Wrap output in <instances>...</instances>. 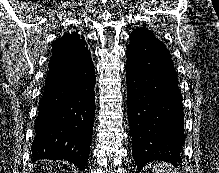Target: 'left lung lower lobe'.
<instances>
[{"label":"left lung lower lobe","mask_w":219,"mask_h":173,"mask_svg":"<svg viewBox=\"0 0 219 173\" xmlns=\"http://www.w3.org/2000/svg\"><path fill=\"white\" fill-rule=\"evenodd\" d=\"M129 38L127 106L135 164L138 171L155 160L180 164L184 114L170 54L151 31Z\"/></svg>","instance_id":"left-lung-lower-lobe-1"}]
</instances>
